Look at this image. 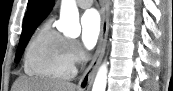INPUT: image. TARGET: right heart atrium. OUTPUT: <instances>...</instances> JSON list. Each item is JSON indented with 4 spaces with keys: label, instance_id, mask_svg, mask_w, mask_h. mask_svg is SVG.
Instances as JSON below:
<instances>
[{
    "label": "right heart atrium",
    "instance_id": "d8ad5b80",
    "mask_svg": "<svg viewBox=\"0 0 173 91\" xmlns=\"http://www.w3.org/2000/svg\"><path fill=\"white\" fill-rule=\"evenodd\" d=\"M68 55L73 64L82 59V51L76 41L68 40Z\"/></svg>",
    "mask_w": 173,
    "mask_h": 91
}]
</instances>
